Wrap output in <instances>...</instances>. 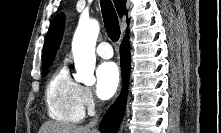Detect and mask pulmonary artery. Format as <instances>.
Here are the masks:
<instances>
[{
	"label": "pulmonary artery",
	"instance_id": "obj_1",
	"mask_svg": "<svg viewBox=\"0 0 221 133\" xmlns=\"http://www.w3.org/2000/svg\"><path fill=\"white\" fill-rule=\"evenodd\" d=\"M96 53L103 59H110L113 56V50L108 42H101L96 49Z\"/></svg>",
	"mask_w": 221,
	"mask_h": 133
}]
</instances>
